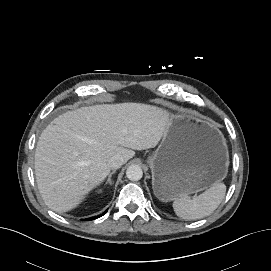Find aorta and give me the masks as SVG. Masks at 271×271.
Returning a JSON list of instances; mask_svg holds the SVG:
<instances>
[{
	"instance_id": "1",
	"label": "aorta",
	"mask_w": 271,
	"mask_h": 271,
	"mask_svg": "<svg viewBox=\"0 0 271 271\" xmlns=\"http://www.w3.org/2000/svg\"><path fill=\"white\" fill-rule=\"evenodd\" d=\"M126 176L131 181H138L143 176L142 168L139 165H130L126 170Z\"/></svg>"
}]
</instances>
